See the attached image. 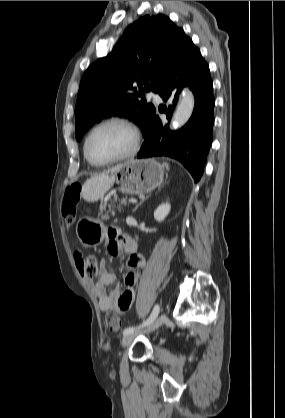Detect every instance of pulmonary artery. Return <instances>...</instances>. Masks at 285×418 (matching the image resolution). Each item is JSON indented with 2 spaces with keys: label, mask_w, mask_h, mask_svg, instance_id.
<instances>
[{
  "label": "pulmonary artery",
  "mask_w": 285,
  "mask_h": 418,
  "mask_svg": "<svg viewBox=\"0 0 285 418\" xmlns=\"http://www.w3.org/2000/svg\"><path fill=\"white\" fill-rule=\"evenodd\" d=\"M148 96L149 97H152L154 99H157V100H160L161 99V95L158 92L154 91V90L149 91L148 92Z\"/></svg>",
  "instance_id": "obj_1"
}]
</instances>
